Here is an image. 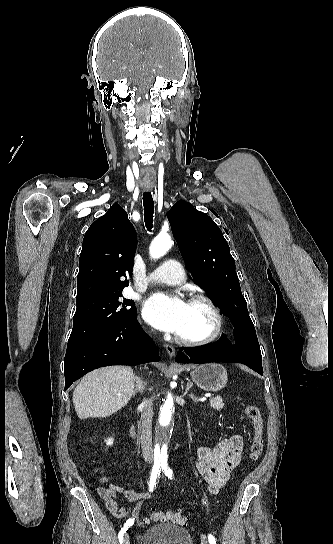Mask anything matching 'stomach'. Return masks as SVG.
I'll return each instance as SVG.
<instances>
[{
    "instance_id": "stomach-1",
    "label": "stomach",
    "mask_w": 333,
    "mask_h": 544,
    "mask_svg": "<svg viewBox=\"0 0 333 544\" xmlns=\"http://www.w3.org/2000/svg\"><path fill=\"white\" fill-rule=\"evenodd\" d=\"M190 376L201 389L211 392L224 388L228 380L226 369L218 363L195 366Z\"/></svg>"
}]
</instances>
